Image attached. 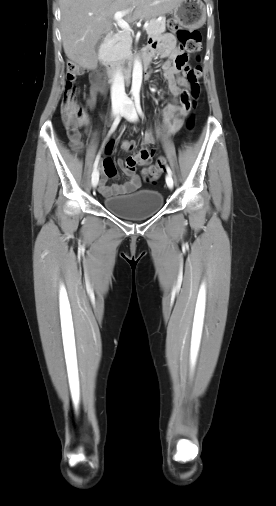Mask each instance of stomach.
Segmentation results:
<instances>
[{
	"label": "stomach",
	"mask_w": 276,
	"mask_h": 506,
	"mask_svg": "<svg viewBox=\"0 0 276 506\" xmlns=\"http://www.w3.org/2000/svg\"><path fill=\"white\" fill-rule=\"evenodd\" d=\"M172 13L177 23L189 28L201 27L206 20V7L201 0H182Z\"/></svg>",
	"instance_id": "0dacf381"
}]
</instances>
